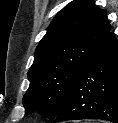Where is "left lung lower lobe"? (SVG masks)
I'll return each mask as SVG.
<instances>
[{
  "instance_id": "left-lung-lower-lobe-1",
  "label": "left lung lower lobe",
  "mask_w": 118,
  "mask_h": 123,
  "mask_svg": "<svg viewBox=\"0 0 118 123\" xmlns=\"http://www.w3.org/2000/svg\"><path fill=\"white\" fill-rule=\"evenodd\" d=\"M79 119L118 123V41L111 32L78 74L54 123Z\"/></svg>"
}]
</instances>
